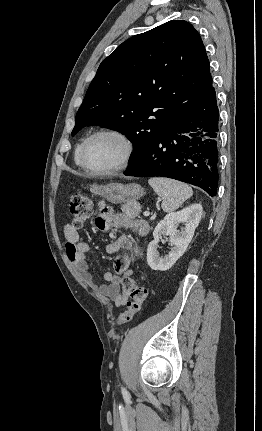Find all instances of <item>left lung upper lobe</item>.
<instances>
[{
    "mask_svg": "<svg viewBox=\"0 0 262 431\" xmlns=\"http://www.w3.org/2000/svg\"><path fill=\"white\" fill-rule=\"evenodd\" d=\"M211 87L198 32L186 21H169L124 41L102 61L72 136L93 124L125 134L134 146L131 166Z\"/></svg>",
    "mask_w": 262,
    "mask_h": 431,
    "instance_id": "5c2ea615",
    "label": "left lung upper lobe"
}]
</instances>
